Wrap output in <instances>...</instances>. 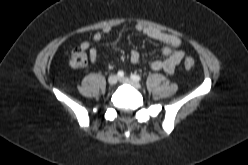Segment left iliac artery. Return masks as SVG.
Wrapping results in <instances>:
<instances>
[{"instance_id":"obj_1","label":"left iliac artery","mask_w":248,"mask_h":165,"mask_svg":"<svg viewBox=\"0 0 248 165\" xmlns=\"http://www.w3.org/2000/svg\"><path fill=\"white\" fill-rule=\"evenodd\" d=\"M131 79L134 80V81H140L141 77L139 75H137V74H132Z\"/></svg>"}]
</instances>
